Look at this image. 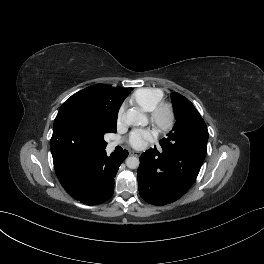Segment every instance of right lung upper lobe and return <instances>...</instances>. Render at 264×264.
<instances>
[{
    "instance_id": "right-lung-upper-lobe-1",
    "label": "right lung upper lobe",
    "mask_w": 264,
    "mask_h": 264,
    "mask_svg": "<svg viewBox=\"0 0 264 264\" xmlns=\"http://www.w3.org/2000/svg\"><path fill=\"white\" fill-rule=\"evenodd\" d=\"M87 89L103 93L109 100L111 106L117 111V113L122 102L132 90V88L111 87L104 84L92 85L90 87H87ZM50 145L55 171L62 169L63 167L68 165L75 157L80 155L62 149L53 136L51 138Z\"/></svg>"
}]
</instances>
